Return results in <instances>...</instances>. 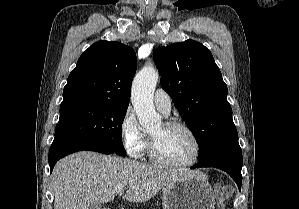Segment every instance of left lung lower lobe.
I'll use <instances>...</instances> for the list:
<instances>
[{
    "instance_id": "0a47b994",
    "label": "left lung lower lobe",
    "mask_w": 299,
    "mask_h": 209,
    "mask_svg": "<svg viewBox=\"0 0 299 209\" xmlns=\"http://www.w3.org/2000/svg\"><path fill=\"white\" fill-rule=\"evenodd\" d=\"M242 151L237 139V131L226 135L191 168L215 167L227 172L241 190Z\"/></svg>"
}]
</instances>
